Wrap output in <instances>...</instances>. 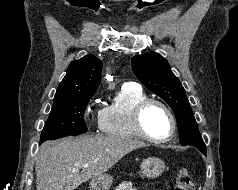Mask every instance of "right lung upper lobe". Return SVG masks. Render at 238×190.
Instances as JSON below:
<instances>
[{"label":"right lung upper lobe","instance_id":"right-lung-upper-lobe-1","mask_svg":"<svg viewBox=\"0 0 238 190\" xmlns=\"http://www.w3.org/2000/svg\"><path fill=\"white\" fill-rule=\"evenodd\" d=\"M102 62L94 55L72 61L67 74L57 88L54 101L80 94H94L100 83Z\"/></svg>","mask_w":238,"mask_h":190}]
</instances>
